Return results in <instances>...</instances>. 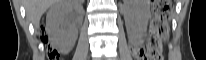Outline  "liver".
I'll return each instance as SVG.
<instances>
[{"instance_id": "6515ba94", "label": "liver", "mask_w": 206, "mask_h": 60, "mask_svg": "<svg viewBox=\"0 0 206 60\" xmlns=\"http://www.w3.org/2000/svg\"><path fill=\"white\" fill-rule=\"evenodd\" d=\"M62 3L64 0H25L24 2L27 17L35 29L39 28L40 19L49 7Z\"/></svg>"}]
</instances>
